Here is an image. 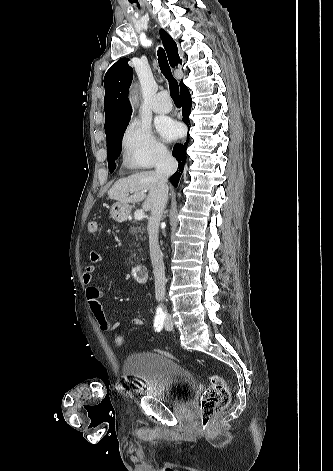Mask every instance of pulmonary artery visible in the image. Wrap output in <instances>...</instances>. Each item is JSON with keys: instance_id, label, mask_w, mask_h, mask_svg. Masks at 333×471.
I'll list each match as a JSON object with an SVG mask.
<instances>
[{"instance_id": "pulmonary-artery-1", "label": "pulmonary artery", "mask_w": 333, "mask_h": 471, "mask_svg": "<svg viewBox=\"0 0 333 471\" xmlns=\"http://www.w3.org/2000/svg\"><path fill=\"white\" fill-rule=\"evenodd\" d=\"M172 107L173 105L165 92L158 93L153 99L152 108L156 113H168Z\"/></svg>"}]
</instances>
